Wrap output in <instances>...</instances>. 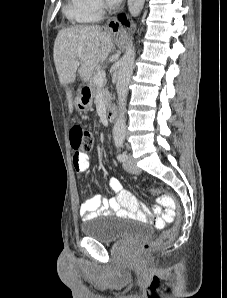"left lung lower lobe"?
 <instances>
[{
  "instance_id": "0a47b994",
  "label": "left lung lower lobe",
  "mask_w": 227,
  "mask_h": 298,
  "mask_svg": "<svg viewBox=\"0 0 227 298\" xmlns=\"http://www.w3.org/2000/svg\"><path fill=\"white\" fill-rule=\"evenodd\" d=\"M119 20H120L123 24H126L127 26H129V23L126 22V18H125V16H120V17H119Z\"/></svg>"
}]
</instances>
